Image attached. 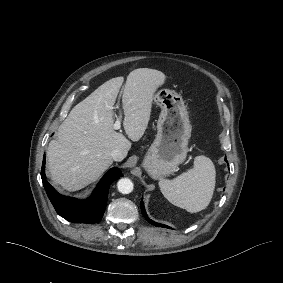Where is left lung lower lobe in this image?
Instances as JSON below:
<instances>
[{
    "label": "left lung lower lobe",
    "mask_w": 283,
    "mask_h": 283,
    "mask_svg": "<svg viewBox=\"0 0 283 283\" xmlns=\"http://www.w3.org/2000/svg\"><path fill=\"white\" fill-rule=\"evenodd\" d=\"M142 199H143V198H142ZM140 206H141V212H142L144 218H145L150 224H152V225H154V226H156V227H164V228H169V229H170V227H168V226H166V225H163V224H161V223L154 222L153 220H151V219L148 217V215L146 214V211H145V209H144L143 201L140 202Z\"/></svg>",
    "instance_id": "obj_1"
}]
</instances>
